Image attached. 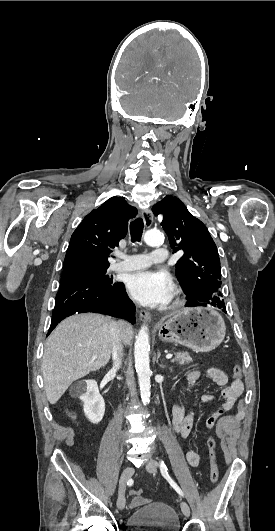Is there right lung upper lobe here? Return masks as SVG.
Wrapping results in <instances>:
<instances>
[{"label": "right lung upper lobe", "instance_id": "right-lung-upper-lobe-1", "mask_svg": "<svg viewBox=\"0 0 275 531\" xmlns=\"http://www.w3.org/2000/svg\"><path fill=\"white\" fill-rule=\"evenodd\" d=\"M137 209L122 197H112L90 212L71 236L64 270L92 265L109 266L111 249L127 234L128 222Z\"/></svg>", "mask_w": 275, "mask_h": 531}]
</instances>
